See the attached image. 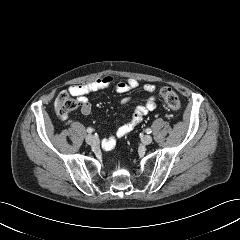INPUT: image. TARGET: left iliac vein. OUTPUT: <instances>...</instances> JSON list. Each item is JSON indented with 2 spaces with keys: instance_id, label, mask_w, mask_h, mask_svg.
Here are the masks:
<instances>
[{
  "instance_id": "left-iliac-vein-1",
  "label": "left iliac vein",
  "mask_w": 240,
  "mask_h": 240,
  "mask_svg": "<svg viewBox=\"0 0 240 240\" xmlns=\"http://www.w3.org/2000/svg\"><path fill=\"white\" fill-rule=\"evenodd\" d=\"M152 137L150 136V135H145L143 138H142V143L144 144V145H149V144H151V142H152Z\"/></svg>"
}]
</instances>
